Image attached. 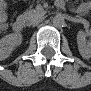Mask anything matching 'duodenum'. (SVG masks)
I'll return each instance as SVG.
<instances>
[{"label":"duodenum","instance_id":"obj_1","mask_svg":"<svg viewBox=\"0 0 91 91\" xmlns=\"http://www.w3.org/2000/svg\"><path fill=\"white\" fill-rule=\"evenodd\" d=\"M24 26H25L24 20L23 19H17L13 22L12 29L15 32H21V31H23Z\"/></svg>","mask_w":91,"mask_h":91}]
</instances>
